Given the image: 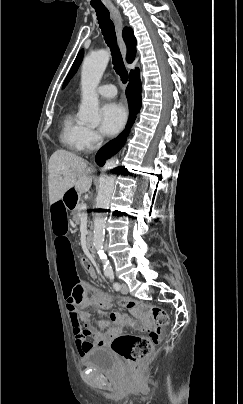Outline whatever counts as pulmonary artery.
<instances>
[{"label":"pulmonary artery","mask_w":243,"mask_h":404,"mask_svg":"<svg viewBox=\"0 0 243 404\" xmlns=\"http://www.w3.org/2000/svg\"><path fill=\"white\" fill-rule=\"evenodd\" d=\"M99 56L102 57L101 64L105 65L108 57L106 51L100 52ZM97 91L101 96L113 97L116 94V87L113 84H104L99 86Z\"/></svg>","instance_id":"pulmonary-artery-1"}]
</instances>
